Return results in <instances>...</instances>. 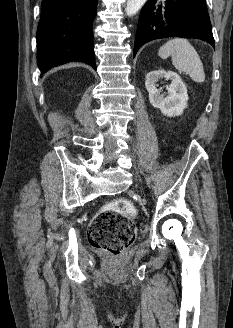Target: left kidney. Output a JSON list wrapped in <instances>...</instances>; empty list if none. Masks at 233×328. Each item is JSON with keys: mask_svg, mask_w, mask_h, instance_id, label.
Segmentation results:
<instances>
[{"mask_svg": "<svg viewBox=\"0 0 233 328\" xmlns=\"http://www.w3.org/2000/svg\"><path fill=\"white\" fill-rule=\"evenodd\" d=\"M162 78L171 80V84L167 86V96L161 94V90L157 88V82ZM145 87L149 93L151 105L154 108L160 109L165 116H179L187 107L188 94L186 85L180 76L173 71L159 69L149 72L146 76Z\"/></svg>", "mask_w": 233, "mask_h": 328, "instance_id": "obj_1", "label": "left kidney"}]
</instances>
